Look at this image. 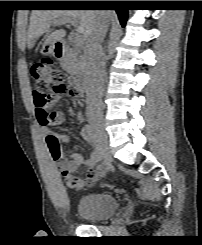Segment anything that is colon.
I'll return each instance as SVG.
<instances>
[{
  "instance_id": "1",
  "label": "colon",
  "mask_w": 202,
  "mask_h": 245,
  "mask_svg": "<svg viewBox=\"0 0 202 245\" xmlns=\"http://www.w3.org/2000/svg\"><path fill=\"white\" fill-rule=\"evenodd\" d=\"M46 60L31 66L30 75L33 79L32 96L38 119L41 123L51 125L54 122L53 105L55 97L66 95L72 102L77 100L74 86L64 79L63 73L50 67ZM49 149L52 155L58 156L61 146L58 140H53Z\"/></svg>"
}]
</instances>
